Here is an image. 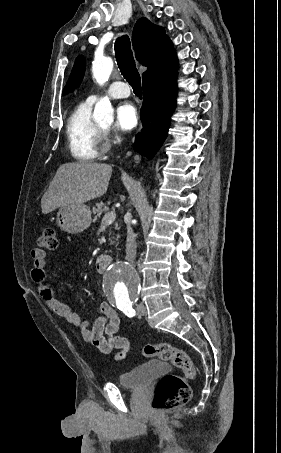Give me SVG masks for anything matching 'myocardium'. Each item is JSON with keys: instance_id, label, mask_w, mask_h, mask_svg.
<instances>
[{"instance_id": "1", "label": "myocardium", "mask_w": 281, "mask_h": 453, "mask_svg": "<svg viewBox=\"0 0 281 453\" xmlns=\"http://www.w3.org/2000/svg\"><path fill=\"white\" fill-rule=\"evenodd\" d=\"M101 130V141H100V149L103 151H107L110 148V144L106 139V128L100 127Z\"/></svg>"}]
</instances>
